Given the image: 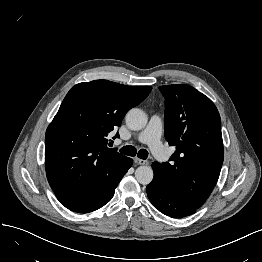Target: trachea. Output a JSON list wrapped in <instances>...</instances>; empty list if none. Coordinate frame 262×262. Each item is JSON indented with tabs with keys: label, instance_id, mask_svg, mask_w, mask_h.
<instances>
[{
	"label": "trachea",
	"instance_id": "trachea-1",
	"mask_svg": "<svg viewBox=\"0 0 262 262\" xmlns=\"http://www.w3.org/2000/svg\"><path fill=\"white\" fill-rule=\"evenodd\" d=\"M120 152L122 154L128 155V156H135L137 151L134 146L127 145L120 149ZM137 156L141 159H147L148 157V151L146 149H140L137 153Z\"/></svg>",
	"mask_w": 262,
	"mask_h": 262
}]
</instances>
